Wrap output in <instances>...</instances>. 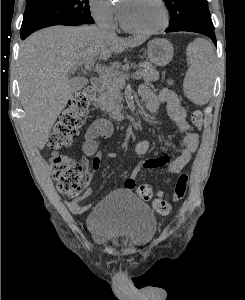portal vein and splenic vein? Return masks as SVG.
Segmentation results:
<instances>
[{"label":"portal vein and splenic vein","mask_w":245,"mask_h":300,"mask_svg":"<svg viewBox=\"0 0 245 300\" xmlns=\"http://www.w3.org/2000/svg\"><path fill=\"white\" fill-rule=\"evenodd\" d=\"M85 68H86L87 70L93 69V68H94V61L86 62V63H85ZM95 70H96L98 73L105 74V73H107L110 69H105V68H103V67L96 66V67H95ZM131 76H132L133 78H135V79H138V78L140 77V73H139L138 71H136V72L133 73Z\"/></svg>","instance_id":"1"}]
</instances>
